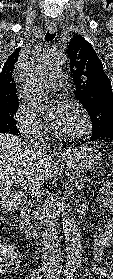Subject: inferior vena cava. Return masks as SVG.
I'll return each instance as SVG.
<instances>
[{
	"instance_id": "602c4592",
	"label": "inferior vena cava",
	"mask_w": 113,
	"mask_h": 279,
	"mask_svg": "<svg viewBox=\"0 0 113 279\" xmlns=\"http://www.w3.org/2000/svg\"><path fill=\"white\" fill-rule=\"evenodd\" d=\"M28 146L37 155H43L46 151V144L39 133H34L29 138ZM44 194H48V191L46 190ZM51 208L52 204L49 200H45L40 210L43 227V269L47 274L57 276L62 268L61 252Z\"/></svg>"
}]
</instances>
